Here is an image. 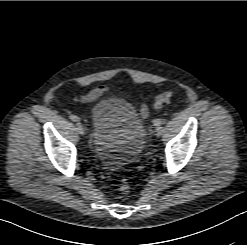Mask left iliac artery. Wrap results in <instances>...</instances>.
Masks as SVG:
<instances>
[{
	"instance_id": "1",
	"label": "left iliac artery",
	"mask_w": 247,
	"mask_h": 245,
	"mask_svg": "<svg viewBox=\"0 0 247 245\" xmlns=\"http://www.w3.org/2000/svg\"><path fill=\"white\" fill-rule=\"evenodd\" d=\"M163 122H164L163 120L157 119V120L154 121V125L155 126H161L163 124Z\"/></svg>"
}]
</instances>
